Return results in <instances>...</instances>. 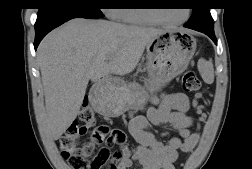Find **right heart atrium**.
Listing matches in <instances>:
<instances>
[{
    "instance_id": "obj_1",
    "label": "right heart atrium",
    "mask_w": 252,
    "mask_h": 169,
    "mask_svg": "<svg viewBox=\"0 0 252 169\" xmlns=\"http://www.w3.org/2000/svg\"><path fill=\"white\" fill-rule=\"evenodd\" d=\"M119 10L120 9H106V14L111 19L119 20Z\"/></svg>"
}]
</instances>
